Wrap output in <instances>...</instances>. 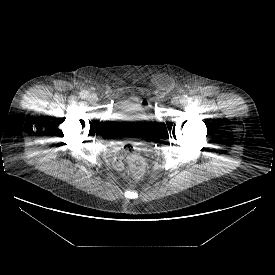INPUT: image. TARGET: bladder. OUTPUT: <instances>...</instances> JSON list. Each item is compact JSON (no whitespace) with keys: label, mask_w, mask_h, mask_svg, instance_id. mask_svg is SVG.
I'll return each instance as SVG.
<instances>
[{"label":"bladder","mask_w":275,"mask_h":275,"mask_svg":"<svg viewBox=\"0 0 275 275\" xmlns=\"http://www.w3.org/2000/svg\"><path fill=\"white\" fill-rule=\"evenodd\" d=\"M153 120L147 103L138 99L123 101L111 112L107 124L111 128L144 127Z\"/></svg>","instance_id":"31cf9c89"}]
</instances>
